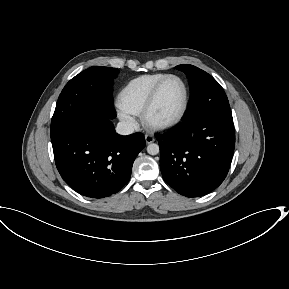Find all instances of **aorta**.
Instances as JSON below:
<instances>
[{
	"label": "aorta",
	"instance_id": "762f6f07",
	"mask_svg": "<svg viewBox=\"0 0 289 289\" xmlns=\"http://www.w3.org/2000/svg\"><path fill=\"white\" fill-rule=\"evenodd\" d=\"M160 151L159 145L155 143H151L147 146V152L150 155H157Z\"/></svg>",
	"mask_w": 289,
	"mask_h": 289
}]
</instances>
